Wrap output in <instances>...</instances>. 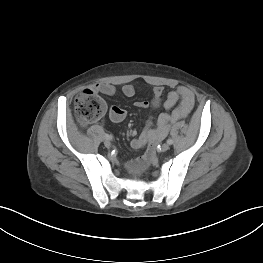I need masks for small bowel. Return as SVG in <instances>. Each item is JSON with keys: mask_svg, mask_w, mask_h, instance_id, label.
Returning <instances> with one entry per match:
<instances>
[{"mask_svg": "<svg viewBox=\"0 0 263 263\" xmlns=\"http://www.w3.org/2000/svg\"><path fill=\"white\" fill-rule=\"evenodd\" d=\"M94 90L107 96L114 95L116 91L111 84H97ZM135 92V87L132 84H126L122 88V93L126 97L134 96ZM163 93L164 88L162 86H155L153 88V98L150 102L137 101L135 103V106L140 109L158 108L163 105L166 109L173 108V110L170 113H162L157 119L156 127H153L152 120L149 119L141 135L132 139V148L139 149L149 142L163 138L168 132L170 123L187 117L194 107V94L186 87L181 86L169 92L164 100ZM109 117L112 122L119 123L125 119L126 111L118 106H112L109 111ZM130 166L134 168L136 164L132 163Z\"/></svg>", "mask_w": 263, "mask_h": 263, "instance_id": "1", "label": "small bowel"}]
</instances>
